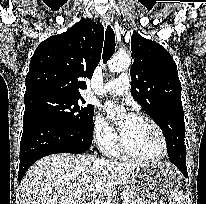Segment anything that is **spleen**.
<instances>
[{
	"instance_id": "obj_1",
	"label": "spleen",
	"mask_w": 206,
	"mask_h": 204,
	"mask_svg": "<svg viewBox=\"0 0 206 204\" xmlns=\"http://www.w3.org/2000/svg\"><path fill=\"white\" fill-rule=\"evenodd\" d=\"M169 199V204H183V193L181 191H174Z\"/></svg>"
}]
</instances>
